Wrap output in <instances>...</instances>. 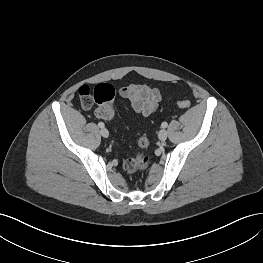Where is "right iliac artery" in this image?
Returning <instances> with one entry per match:
<instances>
[{
    "instance_id": "right-iliac-artery-1",
    "label": "right iliac artery",
    "mask_w": 263,
    "mask_h": 263,
    "mask_svg": "<svg viewBox=\"0 0 263 263\" xmlns=\"http://www.w3.org/2000/svg\"><path fill=\"white\" fill-rule=\"evenodd\" d=\"M98 126H99L100 128H103L105 125H104L103 122H99V123H98Z\"/></svg>"
}]
</instances>
